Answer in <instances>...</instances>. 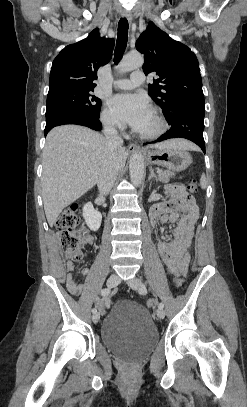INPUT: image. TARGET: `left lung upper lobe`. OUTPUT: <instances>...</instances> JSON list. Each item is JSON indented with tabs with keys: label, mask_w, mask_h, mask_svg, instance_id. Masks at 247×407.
Masks as SVG:
<instances>
[{
	"label": "left lung upper lobe",
	"mask_w": 247,
	"mask_h": 407,
	"mask_svg": "<svg viewBox=\"0 0 247 407\" xmlns=\"http://www.w3.org/2000/svg\"><path fill=\"white\" fill-rule=\"evenodd\" d=\"M136 49L144 54V73L156 72L159 76L149 84L148 94L163 109L167 121L183 108L205 109L199 63L187 46L149 22Z\"/></svg>",
	"instance_id": "left-lung-upper-lobe-1"
}]
</instances>
